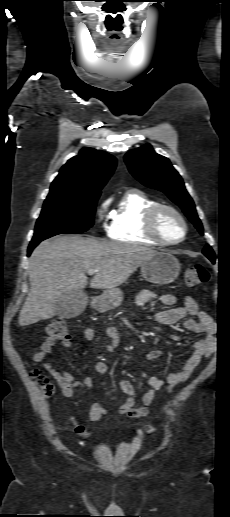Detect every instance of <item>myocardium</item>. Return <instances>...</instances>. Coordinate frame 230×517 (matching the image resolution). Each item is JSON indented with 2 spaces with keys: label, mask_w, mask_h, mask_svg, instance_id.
<instances>
[{
  "label": "myocardium",
  "mask_w": 230,
  "mask_h": 517,
  "mask_svg": "<svg viewBox=\"0 0 230 517\" xmlns=\"http://www.w3.org/2000/svg\"><path fill=\"white\" fill-rule=\"evenodd\" d=\"M165 212H169L175 215L182 224V235L176 240L165 239L159 231V220L162 214ZM146 231L147 234L153 239H155L159 244L164 246H173L181 243L186 238L188 232V225L184 216L176 208L170 205L159 204L152 208L147 214Z\"/></svg>",
  "instance_id": "myocardium-1"
}]
</instances>
